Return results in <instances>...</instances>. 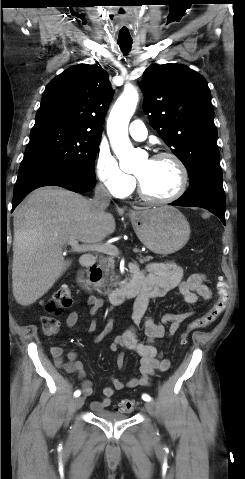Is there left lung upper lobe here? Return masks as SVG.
<instances>
[{"mask_svg": "<svg viewBox=\"0 0 245 479\" xmlns=\"http://www.w3.org/2000/svg\"><path fill=\"white\" fill-rule=\"evenodd\" d=\"M150 124L186 167L190 182L220 168L211 94L203 76L181 64H155L142 77Z\"/></svg>", "mask_w": 245, "mask_h": 479, "instance_id": "1", "label": "left lung upper lobe"}]
</instances>
